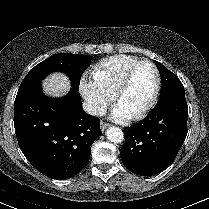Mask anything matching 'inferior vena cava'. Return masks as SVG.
I'll return each mask as SVG.
<instances>
[{
	"label": "inferior vena cava",
	"instance_id": "inferior-vena-cava-1",
	"mask_svg": "<svg viewBox=\"0 0 209 209\" xmlns=\"http://www.w3.org/2000/svg\"><path fill=\"white\" fill-rule=\"evenodd\" d=\"M83 109L86 113L93 116H103L106 113V107L93 101H84Z\"/></svg>",
	"mask_w": 209,
	"mask_h": 209
}]
</instances>
